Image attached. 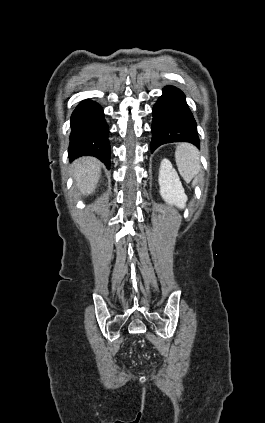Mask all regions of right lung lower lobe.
Here are the masks:
<instances>
[{
	"instance_id": "98d812e1",
	"label": "right lung lower lobe",
	"mask_w": 265,
	"mask_h": 423,
	"mask_svg": "<svg viewBox=\"0 0 265 423\" xmlns=\"http://www.w3.org/2000/svg\"><path fill=\"white\" fill-rule=\"evenodd\" d=\"M108 126L100 105L86 100L80 103L71 116L69 145L70 159L94 156L110 168Z\"/></svg>"
}]
</instances>
